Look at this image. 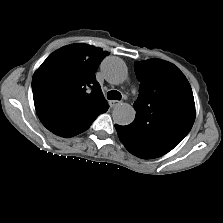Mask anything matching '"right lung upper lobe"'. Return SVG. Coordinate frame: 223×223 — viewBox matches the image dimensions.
Masks as SVG:
<instances>
[{"instance_id": "1", "label": "right lung upper lobe", "mask_w": 223, "mask_h": 223, "mask_svg": "<svg viewBox=\"0 0 223 223\" xmlns=\"http://www.w3.org/2000/svg\"><path fill=\"white\" fill-rule=\"evenodd\" d=\"M87 44H72L48 56L32 79L37 115L51 132L72 137L87 130L109 106L95 72L108 55Z\"/></svg>"}]
</instances>
